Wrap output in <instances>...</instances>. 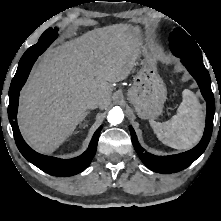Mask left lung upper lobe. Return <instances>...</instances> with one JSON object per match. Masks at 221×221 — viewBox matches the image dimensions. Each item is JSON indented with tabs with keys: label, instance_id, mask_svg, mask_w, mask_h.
I'll return each instance as SVG.
<instances>
[{
	"label": "left lung upper lobe",
	"instance_id": "left-lung-upper-lobe-1",
	"mask_svg": "<svg viewBox=\"0 0 221 221\" xmlns=\"http://www.w3.org/2000/svg\"><path fill=\"white\" fill-rule=\"evenodd\" d=\"M169 41L172 53L175 56L186 58L198 63L203 62L200 48L196 44L195 40L183 29L176 28L170 34Z\"/></svg>",
	"mask_w": 221,
	"mask_h": 221
}]
</instances>
